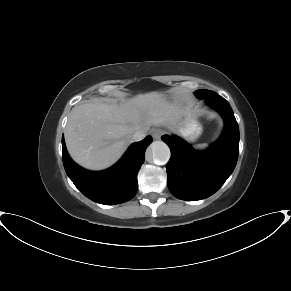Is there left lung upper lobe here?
Returning a JSON list of instances; mask_svg holds the SVG:
<instances>
[{"label":"left lung upper lobe","mask_w":291,"mask_h":291,"mask_svg":"<svg viewBox=\"0 0 291 291\" xmlns=\"http://www.w3.org/2000/svg\"><path fill=\"white\" fill-rule=\"evenodd\" d=\"M208 91L210 90H198L195 92V95L197 97L203 98L206 95V93H208Z\"/></svg>","instance_id":"obj_1"}]
</instances>
